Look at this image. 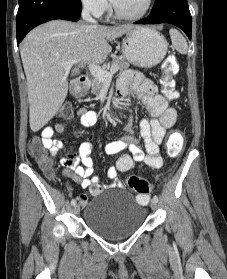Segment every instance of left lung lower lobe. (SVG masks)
<instances>
[{
  "instance_id": "left-lung-lower-lobe-1",
  "label": "left lung lower lobe",
  "mask_w": 227,
  "mask_h": 279,
  "mask_svg": "<svg viewBox=\"0 0 227 279\" xmlns=\"http://www.w3.org/2000/svg\"><path fill=\"white\" fill-rule=\"evenodd\" d=\"M159 23L176 25L191 39L192 17L187 0H156L150 15L135 22V24Z\"/></svg>"
}]
</instances>
